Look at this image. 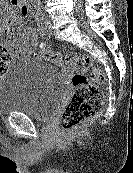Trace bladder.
I'll return each mask as SVG.
<instances>
[{
	"mask_svg": "<svg viewBox=\"0 0 133 173\" xmlns=\"http://www.w3.org/2000/svg\"><path fill=\"white\" fill-rule=\"evenodd\" d=\"M64 94V80L55 66L18 59L0 79V114L24 113L45 122L54 116Z\"/></svg>",
	"mask_w": 133,
	"mask_h": 173,
	"instance_id": "31cf9c89",
	"label": "bladder"
}]
</instances>
